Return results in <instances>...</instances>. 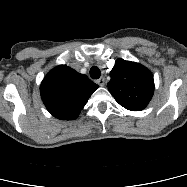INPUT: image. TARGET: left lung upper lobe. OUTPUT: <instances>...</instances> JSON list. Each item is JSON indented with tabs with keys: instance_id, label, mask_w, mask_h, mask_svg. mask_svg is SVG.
I'll use <instances>...</instances> for the list:
<instances>
[{
	"instance_id": "obj_1",
	"label": "left lung upper lobe",
	"mask_w": 187,
	"mask_h": 187,
	"mask_svg": "<svg viewBox=\"0 0 187 187\" xmlns=\"http://www.w3.org/2000/svg\"><path fill=\"white\" fill-rule=\"evenodd\" d=\"M108 89L118 104L130 111H141L153 96L154 80L143 65L118 59L111 70Z\"/></svg>"
}]
</instances>
